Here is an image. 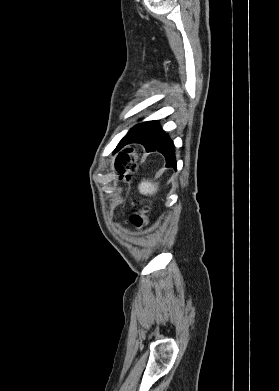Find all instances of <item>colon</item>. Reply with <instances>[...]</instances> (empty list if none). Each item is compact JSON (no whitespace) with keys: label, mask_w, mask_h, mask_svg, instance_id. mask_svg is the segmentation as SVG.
Returning <instances> with one entry per match:
<instances>
[{"label":"colon","mask_w":279,"mask_h":391,"mask_svg":"<svg viewBox=\"0 0 279 391\" xmlns=\"http://www.w3.org/2000/svg\"><path fill=\"white\" fill-rule=\"evenodd\" d=\"M135 154L132 150L121 153L116 160V167L120 173V180H125L128 173L135 170ZM147 207L142 206L135 210L129 217V223L137 230H142L148 223Z\"/></svg>","instance_id":"obj_1"}]
</instances>
